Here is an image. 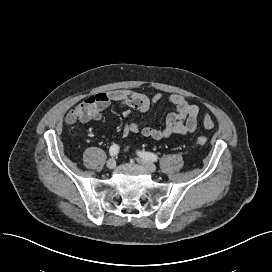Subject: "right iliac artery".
Returning a JSON list of instances; mask_svg holds the SVG:
<instances>
[{"instance_id": "right-iliac-artery-1", "label": "right iliac artery", "mask_w": 272, "mask_h": 272, "mask_svg": "<svg viewBox=\"0 0 272 272\" xmlns=\"http://www.w3.org/2000/svg\"><path fill=\"white\" fill-rule=\"evenodd\" d=\"M119 152V146L117 144H113L109 149L110 156L114 157Z\"/></svg>"}]
</instances>
